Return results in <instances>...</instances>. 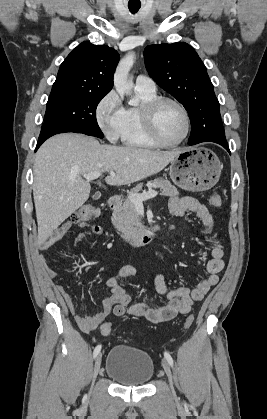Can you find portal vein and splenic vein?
<instances>
[{
  "label": "portal vein and splenic vein",
  "instance_id": "1",
  "mask_svg": "<svg viewBox=\"0 0 267 419\" xmlns=\"http://www.w3.org/2000/svg\"><path fill=\"white\" fill-rule=\"evenodd\" d=\"M111 176H115V172L110 170L109 171ZM101 176L100 172H92V173H88V174H84L83 177L87 180H94L98 177ZM158 194V192L156 190H149L147 192H144L142 194H131L129 195V199L131 200L132 203H134L135 205H142V202L144 200L150 199V198H154L156 197Z\"/></svg>",
  "mask_w": 267,
  "mask_h": 419
}]
</instances>
